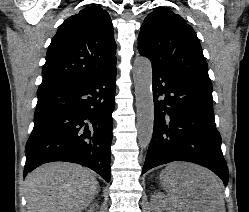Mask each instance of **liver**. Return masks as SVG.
Masks as SVG:
<instances>
[{"label":"liver","instance_id":"obj_1","mask_svg":"<svg viewBox=\"0 0 249 212\" xmlns=\"http://www.w3.org/2000/svg\"><path fill=\"white\" fill-rule=\"evenodd\" d=\"M168 168L172 210L225 212L222 186L210 170L187 162ZM25 184L27 212H80L90 206L99 188L90 170L67 162L36 168L26 176Z\"/></svg>","mask_w":249,"mask_h":212}]
</instances>
